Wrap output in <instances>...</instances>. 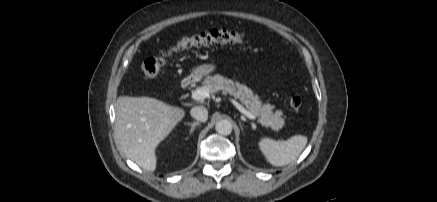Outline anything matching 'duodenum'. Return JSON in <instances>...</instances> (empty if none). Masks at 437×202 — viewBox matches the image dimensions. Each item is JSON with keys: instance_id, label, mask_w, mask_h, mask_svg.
<instances>
[{"instance_id": "410a0bca", "label": "duodenum", "mask_w": 437, "mask_h": 202, "mask_svg": "<svg viewBox=\"0 0 437 202\" xmlns=\"http://www.w3.org/2000/svg\"><path fill=\"white\" fill-rule=\"evenodd\" d=\"M195 79L194 77H186L185 79H183L182 83H181V87L182 89H187L189 88L193 83H194Z\"/></svg>"}]
</instances>
